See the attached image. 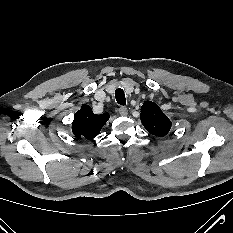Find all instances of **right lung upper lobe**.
<instances>
[{"mask_svg":"<svg viewBox=\"0 0 233 233\" xmlns=\"http://www.w3.org/2000/svg\"><path fill=\"white\" fill-rule=\"evenodd\" d=\"M108 119L109 114L96 115L88 105L83 104L72 122L73 134L76 137L92 139L98 135Z\"/></svg>","mask_w":233,"mask_h":233,"instance_id":"cb5924a9","label":"right lung upper lobe"}]
</instances>
